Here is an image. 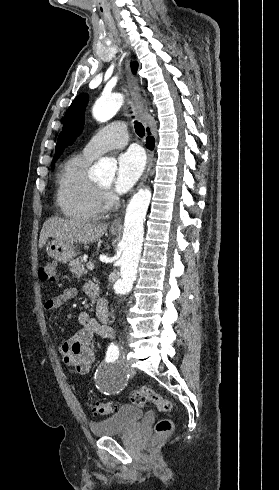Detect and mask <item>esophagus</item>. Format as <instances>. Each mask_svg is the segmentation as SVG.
<instances>
[{"label":"esophagus","instance_id":"34e87169","mask_svg":"<svg viewBox=\"0 0 279 490\" xmlns=\"http://www.w3.org/2000/svg\"><path fill=\"white\" fill-rule=\"evenodd\" d=\"M125 72H126V83L128 85V88L130 90V93L135 101V113L138 115V117L143 121V115H144V106L141 101V89L139 87L138 81L136 77L132 74L130 70V59H129V54L126 55L125 58ZM153 161H154V151H148L147 153V160H146V165L144 168V172L140 181V184L138 188H140L144 183L146 182L148 175L150 173V170L153 166ZM122 226V214L115 218L113 222L110 224L109 228L110 229H117L121 228Z\"/></svg>","mask_w":279,"mask_h":490}]
</instances>
